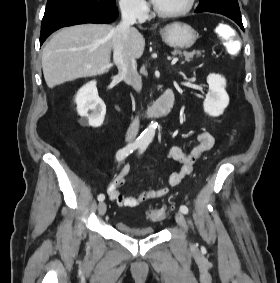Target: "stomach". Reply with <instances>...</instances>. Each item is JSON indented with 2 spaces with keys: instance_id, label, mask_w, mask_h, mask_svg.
<instances>
[{
  "instance_id": "1",
  "label": "stomach",
  "mask_w": 280,
  "mask_h": 283,
  "mask_svg": "<svg viewBox=\"0 0 280 283\" xmlns=\"http://www.w3.org/2000/svg\"><path fill=\"white\" fill-rule=\"evenodd\" d=\"M163 41L176 49H188L197 40V32L188 24L174 22L160 30Z\"/></svg>"
}]
</instances>
